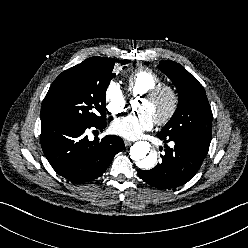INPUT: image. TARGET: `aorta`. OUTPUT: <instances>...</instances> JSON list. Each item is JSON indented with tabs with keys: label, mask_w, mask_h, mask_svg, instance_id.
<instances>
[{
	"label": "aorta",
	"mask_w": 248,
	"mask_h": 248,
	"mask_svg": "<svg viewBox=\"0 0 248 248\" xmlns=\"http://www.w3.org/2000/svg\"><path fill=\"white\" fill-rule=\"evenodd\" d=\"M131 104L133 106L134 102L131 101ZM130 158L142 169H151L158 161L157 153L151 150V145L147 141L134 143L130 148Z\"/></svg>",
	"instance_id": "1"
}]
</instances>
